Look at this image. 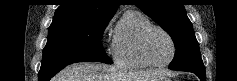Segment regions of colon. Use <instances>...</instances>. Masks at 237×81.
<instances>
[{"label":"colon","instance_id":"5ec220e1","mask_svg":"<svg viewBox=\"0 0 237 81\" xmlns=\"http://www.w3.org/2000/svg\"><path fill=\"white\" fill-rule=\"evenodd\" d=\"M184 81H190L189 79H185Z\"/></svg>","mask_w":237,"mask_h":81}]
</instances>
